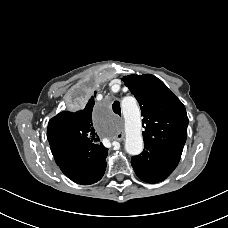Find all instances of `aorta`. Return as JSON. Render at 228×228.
<instances>
[{"label":"aorta","mask_w":228,"mask_h":228,"mask_svg":"<svg viewBox=\"0 0 228 228\" xmlns=\"http://www.w3.org/2000/svg\"><path fill=\"white\" fill-rule=\"evenodd\" d=\"M122 112L125 119V149L130 155H139L143 151L141 132V112L134 98L122 100Z\"/></svg>","instance_id":"aorta-1"}]
</instances>
